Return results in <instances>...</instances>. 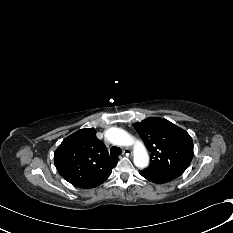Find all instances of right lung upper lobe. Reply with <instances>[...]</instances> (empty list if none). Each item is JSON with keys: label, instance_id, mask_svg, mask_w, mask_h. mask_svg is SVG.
Returning <instances> with one entry per match:
<instances>
[{"label": "right lung upper lobe", "instance_id": "cb5924a9", "mask_svg": "<svg viewBox=\"0 0 233 233\" xmlns=\"http://www.w3.org/2000/svg\"><path fill=\"white\" fill-rule=\"evenodd\" d=\"M118 158H110L95 129H81L65 138L54 153L60 175L79 188L101 185L111 174Z\"/></svg>", "mask_w": 233, "mask_h": 233}]
</instances>
